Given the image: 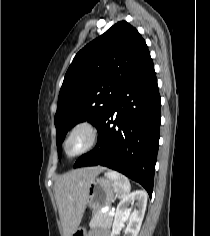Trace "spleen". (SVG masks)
I'll return each instance as SVG.
<instances>
[{
    "label": "spleen",
    "mask_w": 210,
    "mask_h": 236,
    "mask_svg": "<svg viewBox=\"0 0 210 236\" xmlns=\"http://www.w3.org/2000/svg\"><path fill=\"white\" fill-rule=\"evenodd\" d=\"M105 176L113 180L115 185V192L120 198L123 199L129 194L131 185L127 177L116 171H108L107 173H105Z\"/></svg>",
    "instance_id": "spleen-1"
}]
</instances>
